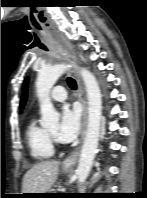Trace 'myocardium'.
Returning a JSON list of instances; mask_svg holds the SVG:
<instances>
[{"mask_svg": "<svg viewBox=\"0 0 147 198\" xmlns=\"http://www.w3.org/2000/svg\"><path fill=\"white\" fill-rule=\"evenodd\" d=\"M48 135H49V138H50L51 142H55L54 135L49 131H48Z\"/></svg>", "mask_w": 147, "mask_h": 198, "instance_id": "obj_1", "label": "myocardium"}]
</instances>
